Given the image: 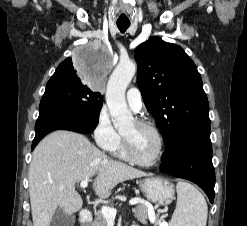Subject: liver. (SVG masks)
Here are the masks:
<instances>
[{
  "label": "liver",
  "instance_id": "6515ba94",
  "mask_svg": "<svg viewBox=\"0 0 247 226\" xmlns=\"http://www.w3.org/2000/svg\"><path fill=\"white\" fill-rule=\"evenodd\" d=\"M94 176V192L107 198L118 183L147 174L109 159L81 134L59 130L46 136L33 151L28 173L33 226H49L58 207L69 215L79 211L76 184Z\"/></svg>",
  "mask_w": 247,
  "mask_h": 226
}]
</instances>
